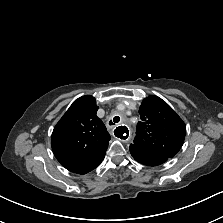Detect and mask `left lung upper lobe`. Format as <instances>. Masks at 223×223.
Wrapping results in <instances>:
<instances>
[{
	"label": "left lung upper lobe",
	"mask_w": 223,
	"mask_h": 223,
	"mask_svg": "<svg viewBox=\"0 0 223 223\" xmlns=\"http://www.w3.org/2000/svg\"><path fill=\"white\" fill-rule=\"evenodd\" d=\"M139 112L141 121L131 146L173 158L185 139L184 122L165 101L153 95L142 101Z\"/></svg>",
	"instance_id": "1"
}]
</instances>
